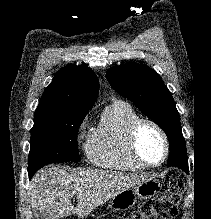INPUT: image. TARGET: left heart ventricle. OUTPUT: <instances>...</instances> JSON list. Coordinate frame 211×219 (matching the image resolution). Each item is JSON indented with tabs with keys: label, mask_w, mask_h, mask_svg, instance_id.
<instances>
[{
	"label": "left heart ventricle",
	"mask_w": 211,
	"mask_h": 219,
	"mask_svg": "<svg viewBox=\"0 0 211 219\" xmlns=\"http://www.w3.org/2000/svg\"><path fill=\"white\" fill-rule=\"evenodd\" d=\"M138 149L144 161L158 163L164 153V144L160 134L150 125H144L138 134Z\"/></svg>",
	"instance_id": "left-heart-ventricle-1"
}]
</instances>
